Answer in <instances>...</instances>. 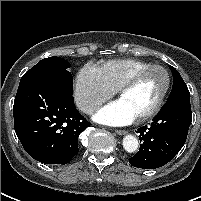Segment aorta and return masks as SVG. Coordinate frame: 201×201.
I'll return each mask as SVG.
<instances>
[{
    "instance_id": "aorta-1",
    "label": "aorta",
    "mask_w": 201,
    "mask_h": 201,
    "mask_svg": "<svg viewBox=\"0 0 201 201\" xmlns=\"http://www.w3.org/2000/svg\"><path fill=\"white\" fill-rule=\"evenodd\" d=\"M139 143L135 136L128 134L123 138V147L129 152L133 153L138 149Z\"/></svg>"
}]
</instances>
